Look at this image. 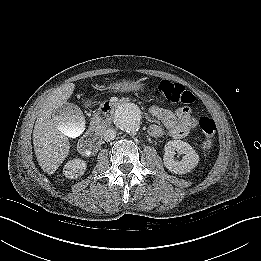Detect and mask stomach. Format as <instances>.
I'll list each match as a JSON object with an SVG mask.
<instances>
[{
    "label": "stomach",
    "mask_w": 261,
    "mask_h": 261,
    "mask_svg": "<svg viewBox=\"0 0 261 261\" xmlns=\"http://www.w3.org/2000/svg\"><path fill=\"white\" fill-rule=\"evenodd\" d=\"M143 87V84L140 81L134 80H122L110 84L107 89L112 92H127L133 90H139Z\"/></svg>",
    "instance_id": "0dacf381"
}]
</instances>
